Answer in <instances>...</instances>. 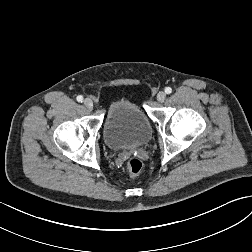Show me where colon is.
<instances>
[{
  "mask_svg": "<svg viewBox=\"0 0 252 252\" xmlns=\"http://www.w3.org/2000/svg\"><path fill=\"white\" fill-rule=\"evenodd\" d=\"M143 168L142 162L138 158H130L126 162V169L130 176L138 175Z\"/></svg>",
  "mask_w": 252,
  "mask_h": 252,
  "instance_id": "colon-1",
  "label": "colon"
}]
</instances>
